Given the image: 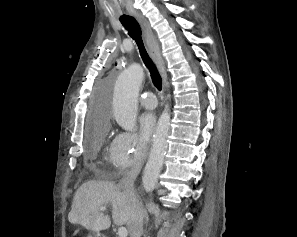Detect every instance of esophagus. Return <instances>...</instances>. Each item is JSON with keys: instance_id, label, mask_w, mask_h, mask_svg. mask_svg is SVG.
<instances>
[{"instance_id": "1", "label": "esophagus", "mask_w": 297, "mask_h": 237, "mask_svg": "<svg viewBox=\"0 0 297 237\" xmlns=\"http://www.w3.org/2000/svg\"><path fill=\"white\" fill-rule=\"evenodd\" d=\"M138 19L143 30L144 38H145L149 53L161 73V76L163 79V86L165 88V85L167 82V73H166L164 61L161 57L159 46L154 39L152 30L148 21L142 16H138Z\"/></svg>"}]
</instances>
